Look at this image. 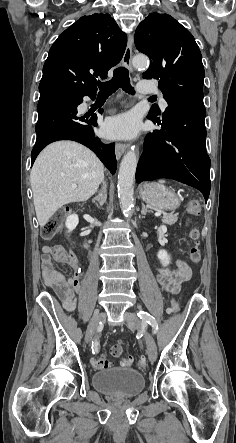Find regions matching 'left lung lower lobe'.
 Returning <instances> with one entry per match:
<instances>
[{"instance_id": "left-lung-lower-lobe-1", "label": "left lung lower lobe", "mask_w": 236, "mask_h": 443, "mask_svg": "<svg viewBox=\"0 0 236 443\" xmlns=\"http://www.w3.org/2000/svg\"><path fill=\"white\" fill-rule=\"evenodd\" d=\"M203 97L183 96L168 102L162 114L148 119L162 126L146 135L136 182L169 178L210 193V158L206 152Z\"/></svg>"}]
</instances>
